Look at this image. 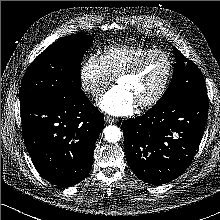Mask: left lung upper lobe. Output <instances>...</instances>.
Returning <instances> with one entry per match:
<instances>
[{
  "label": "left lung upper lobe",
  "instance_id": "5c2ea615",
  "mask_svg": "<svg viewBox=\"0 0 220 220\" xmlns=\"http://www.w3.org/2000/svg\"><path fill=\"white\" fill-rule=\"evenodd\" d=\"M173 50L176 64L171 83L162 98L153 107L207 95L206 84L197 65L184 57L175 47Z\"/></svg>",
  "mask_w": 220,
  "mask_h": 220
}]
</instances>
